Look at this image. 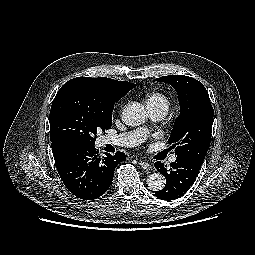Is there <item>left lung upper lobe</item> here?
Wrapping results in <instances>:
<instances>
[{"label": "left lung upper lobe", "mask_w": 255, "mask_h": 255, "mask_svg": "<svg viewBox=\"0 0 255 255\" xmlns=\"http://www.w3.org/2000/svg\"><path fill=\"white\" fill-rule=\"evenodd\" d=\"M173 86L178 94L180 115L168 139L175 154L204 161L208 151L214 111L207 90L198 80L184 75L156 79Z\"/></svg>", "instance_id": "obj_1"}]
</instances>
